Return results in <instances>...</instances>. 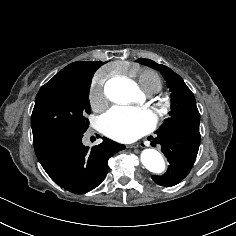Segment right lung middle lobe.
<instances>
[{
    "mask_svg": "<svg viewBox=\"0 0 236 236\" xmlns=\"http://www.w3.org/2000/svg\"><path fill=\"white\" fill-rule=\"evenodd\" d=\"M93 75L75 78L53 77L35 99L31 116L33 137L53 131L84 133L91 112L89 90Z\"/></svg>",
    "mask_w": 236,
    "mask_h": 236,
    "instance_id": "obj_1",
    "label": "right lung middle lobe"
}]
</instances>
